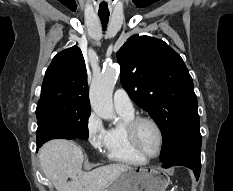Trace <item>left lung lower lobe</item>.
<instances>
[{
	"mask_svg": "<svg viewBox=\"0 0 233 191\" xmlns=\"http://www.w3.org/2000/svg\"><path fill=\"white\" fill-rule=\"evenodd\" d=\"M201 144H190L174 153L166 162L163 163L164 168L182 165L193 170L198 180L201 170Z\"/></svg>",
	"mask_w": 233,
	"mask_h": 191,
	"instance_id": "obj_1",
	"label": "left lung lower lobe"
}]
</instances>
